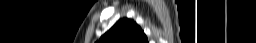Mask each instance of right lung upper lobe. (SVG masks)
Masks as SVG:
<instances>
[{
	"instance_id": "cb5924a9",
	"label": "right lung upper lobe",
	"mask_w": 256,
	"mask_h": 43,
	"mask_svg": "<svg viewBox=\"0 0 256 43\" xmlns=\"http://www.w3.org/2000/svg\"><path fill=\"white\" fill-rule=\"evenodd\" d=\"M98 43H148L143 30L133 20L120 19Z\"/></svg>"
}]
</instances>
